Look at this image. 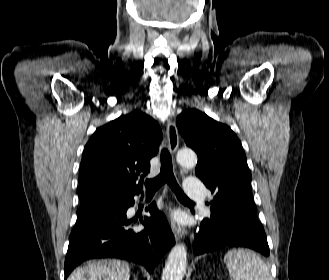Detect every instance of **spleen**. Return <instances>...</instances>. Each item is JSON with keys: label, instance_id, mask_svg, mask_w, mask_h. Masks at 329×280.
<instances>
[{"label": "spleen", "instance_id": "spleen-1", "mask_svg": "<svg viewBox=\"0 0 329 280\" xmlns=\"http://www.w3.org/2000/svg\"><path fill=\"white\" fill-rule=\"evenodd\" d=\"M231 280H271L266 263L247 249H232L224 257Z\"/></svg>", "mask_w": 329, "mask_h": 280}]
</instances>
